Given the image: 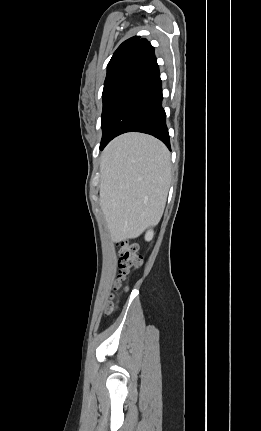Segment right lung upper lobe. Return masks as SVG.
<instances>
[{
  "label": "right lung upper lobe",
  "instance_id": "obj_1",
  "mask_svg": "<svg viewBox=\"0 0 261 431\" xmlns=\"http://www.w3.org/2000/svg\"><path fill=\"white\" fill-rule=\"evenodd\" d=\"M155 61L151 44L140 36L132 37L123 42L113 54L107 66L105 82L130 71L141 72Z\"/></svg>",
  "mask_w": 261,
  "mask_h": 431
}]
</instances>
